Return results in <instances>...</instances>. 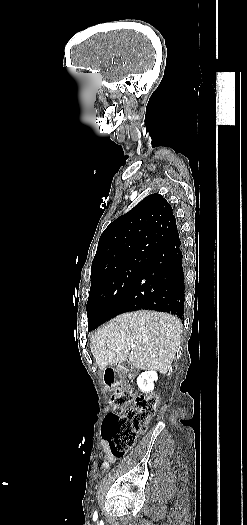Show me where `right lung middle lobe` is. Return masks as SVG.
I'll list each match as a JSON object with an SVG mask.
<instances>
[{
	"mask_svg": "<svg viewBox=\"0 0 247 525\" xmlns=\"http://www.w3.org/2000/svg\"><path fill=\"white\" fill-rule=\"evenodd\" d=\"M145 264L146 257L121 269L91 273V288L86 306L89 330L116 315V309L139 277Z\"/></svg>",
	"mask_w": 247,
	"mask_h": 525,
	"instance_id": "dd1d6c3e",
	"label": "right lung middle lobe"
}]
</instances>
